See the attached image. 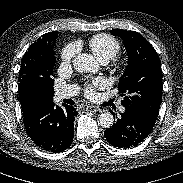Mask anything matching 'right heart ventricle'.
I'll return each mask as SVG.
<instances>
[{"instance_id": "right-heart-ventricle-1", "label": "right heart ventricle", "mask_w": 183, "mask_h": 183, "mask_svg": "<svg viewBox=\"0 0 183 183\" xmlns=\"http://www.w3.org/2000/svg\"><path fill=\"white\" fill-rule=\"evenodd\" d=\"M88 46L101 62H108L121 49L120 42L115 37L105 33L92 36L88 41Z\"/></svg>"}]
</instances>
